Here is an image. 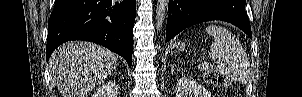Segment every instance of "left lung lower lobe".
Wrapping results in <instances>:
<instances>
[{"label": "left lung lower lobe", "mask_w": 302, "mask_h": 97, "mask_svg": "<svg viewBox=\"0 0 302 97\" xmlns=\"http://www.w3.org/2000/svg\"><path fill=\"white\" fill-rule=\"evenodd\" d=\"M245 0H169L166 41L183 29L211 20L234 24L252 38Z\"/></svg>", "instance_id": "left-lung-lower-lobe-1"}]
</instances>
